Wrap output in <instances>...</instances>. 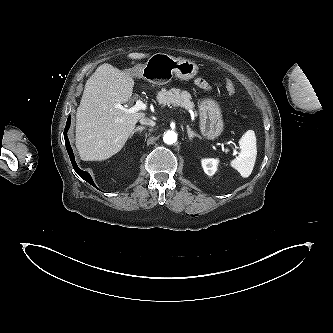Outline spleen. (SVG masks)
Masks as SVG:
<instances>
[{
    "instance_id": "obj_1",
    "label": "spleen",
    "mask_w": 333,
    "mask_h": 333,
    "mask_svg": "<svg viewBox=\"0 0 333 333\" xmlns=\"http://www.w3.org/2000/svg\"><path fill=\"white\" fill-rule=\"evenodd\" d=\"M239 145L241 148L239 156L230 162L232 168L236 169L243 178L251 175L256 155V137L252 130H248L240 139Z\"/></svg>"
}]
</instances>
